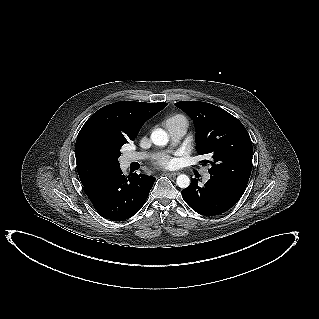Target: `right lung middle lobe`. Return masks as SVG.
Returning a JSON list of instances; mask_svg holds the SVG:
<instances>
[{
  "instance_id": "1",
  "label": "right lung middle lobe",
  "mask_w": 319,
  "mask_h": 319,
  "mask_svg": "<svg viewBox=\"0 0 319 319\" xmlns=\"http://www.w3.org/2000/svg\"><path fill=\"white\" fill-rule=\"evenodd\" d=\"M120 154H121L120 152L116 153L115 158L117 159L120 156Z\"/></svg>"
}]
</instances>
